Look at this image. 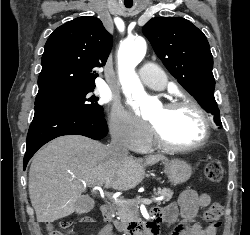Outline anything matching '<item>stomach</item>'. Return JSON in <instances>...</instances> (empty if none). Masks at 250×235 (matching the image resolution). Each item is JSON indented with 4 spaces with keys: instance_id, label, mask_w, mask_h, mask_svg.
Listing matches in <instances>:
<instances>
[{
    "instance_id": "1",
    "label": "stomach",
    "mask_w": 250,
    "mask_h": 235,
    "mask_svg": "<svg viewBox=\"0 0 250 235\" xmlns=\"http://www.w3.org/2000/svg\"><path fill=\"white\" fill-rule=\"evenodd\" d=\"M164 172L173 185H180L189 180L192 175L191 166L179 159L164 160Z\"/></svg>"
}]
</instances>
